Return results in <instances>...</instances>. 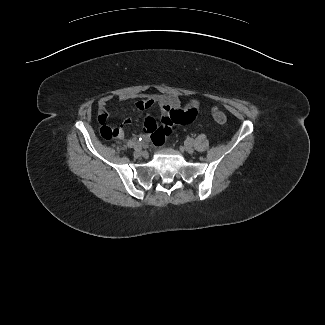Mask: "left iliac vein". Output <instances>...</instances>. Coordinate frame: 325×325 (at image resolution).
Listing matches in <instances>:
<instances>
[{
	"mask_svg": "<svg viewBox=\"0 0 325 325\" xmlns=\"http://www.w3.org/2000/svg\"><path fill=\"white\" fill-rule=\"evenodd\" d=\"M184 149H185L186 152H188V153H190V154H192V153L194 152V149H193V147H192L191 144H186V145L184 146Z\"/></svg>",
	"mask_w": 325,
	"mask_h": 325,
	"instance_id": "4c4485c4",
	"label": "left iliac vein"
}]
</instances>
